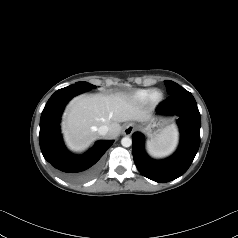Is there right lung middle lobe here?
Returning a JSON list of instances; mask_svg holds the SVG:
<instances>
[{
    "label": "right lung middle lobe",
    "mask_w": 238,
    "mask_h": 238,
    "mask_svg": "<svg viewBox=\"0 0 238 238\" xmlns=\"http://www.w3.org/2000/svg\"><path fill=\"white\" fill-rule=\"evenodd\" d=\"M77 86L82 88L84 91H88L92 88H95L94 85L87 83V82H79V83H77Z\"/></svg>",
    "instance_id": "dd1d6c3e"
}]
</instances>
